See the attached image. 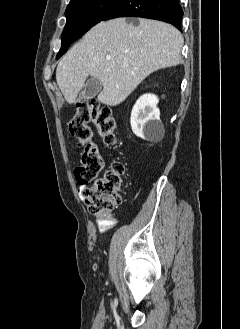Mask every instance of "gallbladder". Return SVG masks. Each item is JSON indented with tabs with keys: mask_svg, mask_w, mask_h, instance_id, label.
I'll use <instances>...</instances> for the list:
<instances>
[{
	"mask_svg": "<svg viewBox=\"0 0 240 329\" xmlns=\"http://www.w3.org/2000/svg\"><path fill=\"white\" fill-rule=\"evenodd\" d=\"M101 89L102 84L100 80L97 78H91L85 83L84 88L79 95V100L84 101L93 98L101 91Z\"/></svg>",
	"mask_w": 240,
	"mask_h": 329,
	"instance_id": "bac80fb5",
	"label": "gallbladder"
}]
</instances>
